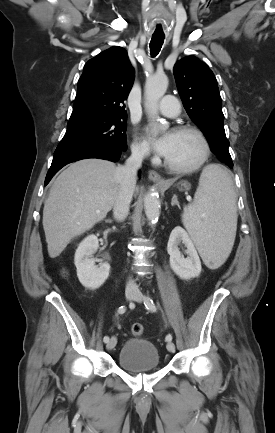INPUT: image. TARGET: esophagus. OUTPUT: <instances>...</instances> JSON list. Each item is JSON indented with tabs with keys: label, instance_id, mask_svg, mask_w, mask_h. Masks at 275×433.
Masks as SVG:
<instances>
[{
	"label": "esophagus",
	"instance_id": "esophagus-1",
	"mask_svg": "<svg viewBox=\"0 0 275 433\" xmlns=\"http://www.w3.org/2000/svg\"><path fill=\"white\" fill-rule=\"evenodd\" d=\"M148 178L156 183L157 185L165 184V180L160 176V174L154 170L148 172Z\"/></svg>",
	"mask_w": 275,
	"mask_h": 433
}]
</instances>
